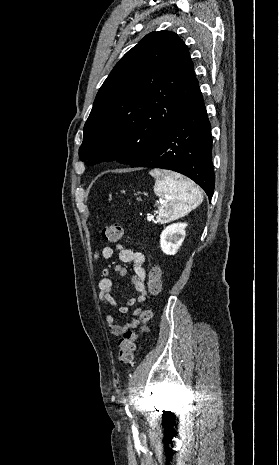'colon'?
Returning a JSON list of instances; mask_svg holds the SVG:
<instances>
[{
	"label": "colon",
	"instance_id": "5ec220e1",
	"mask_svg": "<svg viewBox=\"0 0 279 465\" xmlns=\"http://www.w3.org/2000/svg\"><path fill=\"white\" fill-rule=\"evenodd\" d=\"M123 236V226L119 221H115L110 225L106 226L102 231V237L104 240L109 242H117ZM161 271L159 267L154 266L150 269L148 275V291L151 295H157L161 290ZM140 317L143 321V326L139 333L134 331H127L123 334L119 342L118 360L123 365H129L134 359V353L136 350V342L140 334L148 331L147 322L151 317L149 310H142Z\"/></svg>",
	"mask_w": 279,
	"mask_h": 465
}]
</instances>
